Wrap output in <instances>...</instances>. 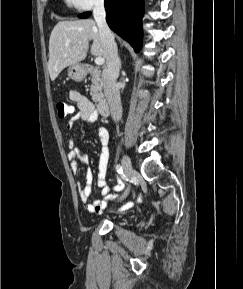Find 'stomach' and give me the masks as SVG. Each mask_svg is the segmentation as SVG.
Here are the masks:
<instances>
[{
  "label": "stomach",
  "mask_w": 243,
  "mask_h": 289,
  "mask_svg": "<svg viewBox=\"0 0 243 289\" xmlns=\"http://www.w3.org/2000/svg\"><path fill=\"white\" fill-rule=\"evenodd\" d=\"M85 75L86 70L82 64H73L68 68V76L75 81H82Z\"/></svg>",
  "instance_id": "0dacf381"
}]
</instances>
